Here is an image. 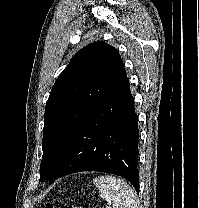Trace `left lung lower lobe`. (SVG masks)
Returning a JSON list of instances; mask_svg holds the SVG:
<instances>
[{"mask_svg":"<svg viewBox=\"0 0 199 208\" xmlns=\"http://www.w3.org/2000/svg\"><path fill=\"white\" fill-rule=\"evenodd\" d=\"M137 119L126 77L75 132L50 183L75 172L100 171L126 178L138 192Z\"/></svg>","mask_w":199,"mask_h":208,"instance_id":"left-lung-lower-lobe-1","label":"left lung lower lobe"}]
</instances>
